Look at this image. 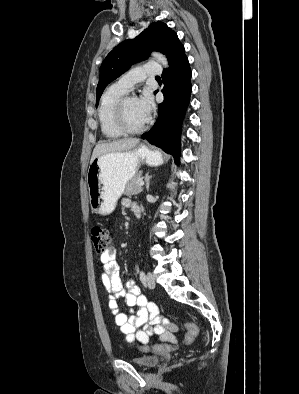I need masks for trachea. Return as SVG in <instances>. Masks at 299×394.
Here are the masks:
<instances>
[{
	"label": "trachea",
	"instance_id": "1",
	"mask_svg": "<svg viewBox=\"0 0 299 394\" xmlns=\"http://www.w3.org/2000/svg\"><path fill=\"white\" fill-rule=\"evenodd\" d=\"M156 79H160V77H159V76H157V77H156Z\"/></svg>",
	"mask_w": 299,
	"mask_h": 394
}]
</instances>
